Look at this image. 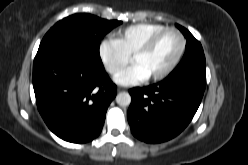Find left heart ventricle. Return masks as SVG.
Returning a JSON list of instances; mask_svg holds the SVG:
<instances>
[{"mask_svg":"<svg viewBox=\"0 0 248 165\" xmlns=\"http://www.w3.org/2000/svg\"><path fill=\"white\" fill-rule=\"evenodd\" d=\"M179 48L178 36L168 32L162 35L147 53L135 57L132 61L141 65L151 77L163 71L174 60Z\"/></svg>","mask_w":248,"mask_h":165,"instance_id":"1","label":"left heart ventricle"}]
</instances>
